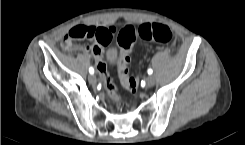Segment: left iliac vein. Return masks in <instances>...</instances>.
<instances>
[{
	"mask_svg": "<svg viewBox=\"0 0 245 145\" xmlns=\"http://www.w3.org/2000/svg\"><path fill=\"white\" fill-rule=\"evenodd\" d=\"M155 84V78L153 76H149L147 79H146V85L148 87H152L154 86Z\"/></svg>",
	"mask_w": 245,
	"mask_h": 145,
	"instance_id": "obj_1",
	"label": "left iliac vein"
}]
</instances>
